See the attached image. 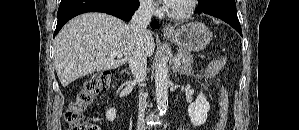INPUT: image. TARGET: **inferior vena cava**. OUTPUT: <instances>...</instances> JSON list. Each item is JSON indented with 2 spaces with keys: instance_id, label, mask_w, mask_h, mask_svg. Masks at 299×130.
<instances>
[{
  "instance_id": "obj_1",
  "label": "inferior vena cava",
  "mask_w": 299,
  "mask_h": 130,
  "mask_svg": "<svg viewBox=\"0 0 299 130\" xmlns=\"http://www.w3.org/2000/svg\"><path fill=\"white\" fill-rule=\"evenodd\" d=\"M153 5L150 1H143L140 3L138 10L134 13L131 23L129 25L132 31L133 38L136 41L137 48L132 52L129 57V66L131 68L132 74L135 77V82L141 83L145 80L147 73V57L141 50L140 46L143 42L145 33L147 32V27L150 24ZM146 106V94L143 92L139 96V115L137 130H145L144 124V112Z\"/></svg>"
}]
</instances>
